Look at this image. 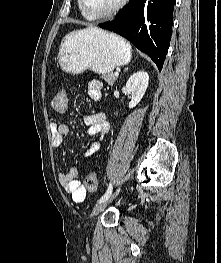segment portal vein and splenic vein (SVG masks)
<instances>
[{
	"instance_id": "18ae733b",
	"label": "portal vein and splenic vein",
	"mask_w": 221,
	"mask_h": 263,
	"mask_svg": "<svg viewBox=\"0 0 221 263\" xmlns=\"http://www.w3.org/2000/svg\"><path fill=\"white\" fill-rule=\"evenodd\" d=\"M114 75H115V76H118V75H119V73H118V72H115V73H114Z\"/></svg>"
}]
</instances>
